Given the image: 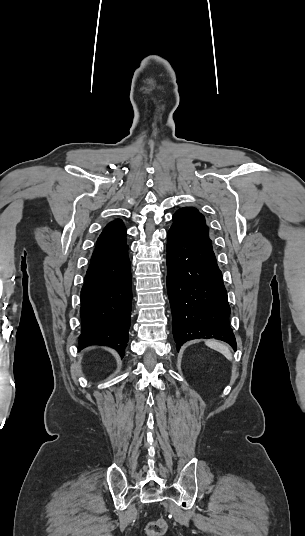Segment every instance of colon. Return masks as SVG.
Returning a JSON list of instances; mask_svg holds the SVG:
<instances>
[{
    "instance_id": "5ec220e1",
    "label": "colon",
    "mask_w": 305,
    "mask_h": 536,
    "mask_svg": "<svg viewBox=\"0 0 305 536\" xmlns=\"http://www.w3.org/2000/svg\"><path fill=\"white\" fill-rule=\"evenodd\" d=\"M166 531V523L163 518L152 521L147 529L146 536H163Z\"/></svg>"
}]
</instances>
